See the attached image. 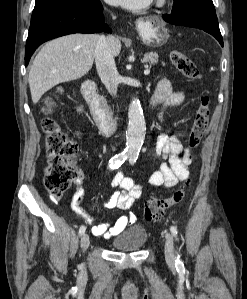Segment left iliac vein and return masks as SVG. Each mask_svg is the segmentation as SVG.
Instances as JSON below:
<instances>
[{"mask_svg": "<svg viewBox=\"0 0 247 299\" xmlns=\"http://www.w3.org/2000/svg\"><path fill=\"white\" fill-rule=\"evenodd\" d=\"M165 258L169 264H174V239L170 233L165 235Z\"/></svg>", "mask_w": 247, "mask_h": 299, "instance_id": "1", "label": "left iliac vein"}]
</instances>
